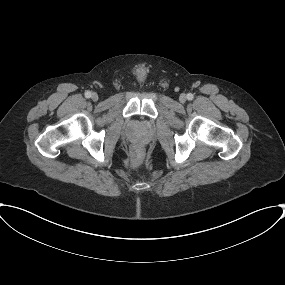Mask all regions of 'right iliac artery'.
Instances as JSON below:
<instances>
[{
	"mask_svg": "<svg viewBox=\"0 0 285 285\" xmlns=\"http://www.w3.org/2000/svg\"><path fill=\"white\" fill-rule=\"evenodd\" d=\"M85 97L86 98H90L91 97V92L90 91H86L85 92Z\"/></svg>",
	"mask_w": 285,
	"mask_h": 285,
	"instance_id": "obj_1",
	"label": "right iliac artery"
}]
</instances>
